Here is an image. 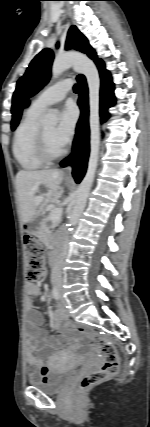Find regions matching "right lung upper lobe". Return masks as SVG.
Wrapping results in <instances>:
<instances>
[{
	"mask_svg": "<svg viewBox=\"0 0 150 427\" xmlns=\"http://www.w3.org/2000/svg\"><path fill=\"white\" fill-rule=\"evenodd\" d=\"M29 102H27L26 106H28Z\"/></svg>",
	"mask_w": 150,
	"mask_h": 427,
	"instance_id": "cb5924a9",
	"label": "right lung upper lobe"
}]
</instances>
